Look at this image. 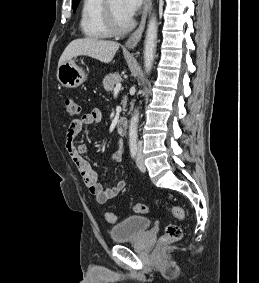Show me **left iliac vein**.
<instances>
[{
  "label": "left iliac vein",
  "instance_id": "1",
  "mask_svg": "<svg viewBox=\"0 0 259 283\" xmlns=\"http://www.w3.org/2000/svg\"><path fill=\"white\" fill-rule=\"evenodd\" d=\"M136 164H137V167H138L142 172L145 171L146 167H145V164H144V162H143V158H142V153H141V151H138V153H137Z\"/></svg>",
  "mask_w": 259,
  "mask_h": 283
}]
</instances>
